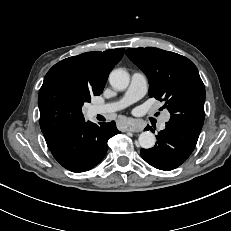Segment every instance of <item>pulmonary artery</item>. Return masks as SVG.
<instances>
[{
  "label": "pulmonary artery",
  "instance_id": "pulmonary-artery-1",
  "mask_svg": "<svg viewBox=\"0 0 231 231\" xmlns=\"http://www.w3.org/2000/svg\"><path fill=\"white\" fill-rule=\"evenodd\" d=\"M146 91L147 81L145 75L140 72H134L131 76L129 88L120 100L104 105L92 106L89 113L90 115L95 116L98 114H109L116 112L141 99L146 94ZM169 118L170 114L168 112L163 113L159 124L160 129L165 128Z\"/></svg>",
  "mask_w": 231,
  "mask_h": 231
}]
</instances>
